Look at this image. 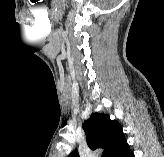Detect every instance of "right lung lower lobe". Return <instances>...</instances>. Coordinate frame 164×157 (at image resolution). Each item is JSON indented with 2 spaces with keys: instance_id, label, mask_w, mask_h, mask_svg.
<instances>
[{
  "instance_id": "1",
  "label": "right lung lower lobe",
  "mask_w": 164,
  "mask_h": 157,
  "mask_svg": "<svg viewBox=\"0 0 164 157\" xmlns=\"http://www.w3.org/2000/svg\"><path fill=\"white\" fill-rule=\"evenodd\" d=\"M115 157H135L134 153L130 150V147L128 143L125 141L120 148V150L117 152Z\"/></svg>"
}]
</instances>
